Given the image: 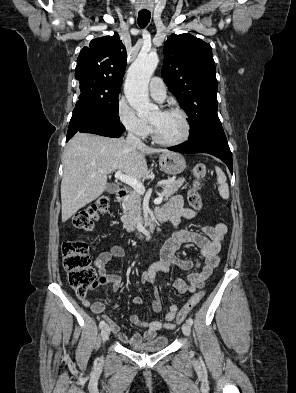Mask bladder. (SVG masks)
Wrapping results in <instances>:
<instances>
[{
  "instance_id": "1",
  "label": "bladder",
  "mask_w": 296,
  "mask_h": 393,
  "mask_svg": "<svg viewBox=\"0 0 296 393\" xmlns=\"http://www.w3.org/2000/svg\"><path fill=\"white\" fill-rule=\"evenodd\" d=\"M168 337L157 336L142 345L130 346V349L136 352H157L164 349L168 344Z\"/></svg>"
}]
</instances>
